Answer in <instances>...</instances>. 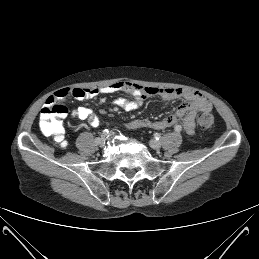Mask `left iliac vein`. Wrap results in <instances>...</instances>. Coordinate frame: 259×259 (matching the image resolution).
<instances>
[{
  "instance_id": "obj_1",
  "label": "left iliac vein",
  "mask_w": 259,
  "mask_h": 259,
  "mask_svg": "<svg viewBox=\"0 0 259 259\" xmlns=\"http://www.w3.org/2000/svg\"><path fill=\"white\" fill-rule=\"evenodd\" d=\"M149 145L155 150H159L161 148V142L155 139L150 140Z\"/></svg>"
}]
</instances>
